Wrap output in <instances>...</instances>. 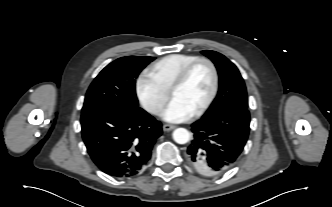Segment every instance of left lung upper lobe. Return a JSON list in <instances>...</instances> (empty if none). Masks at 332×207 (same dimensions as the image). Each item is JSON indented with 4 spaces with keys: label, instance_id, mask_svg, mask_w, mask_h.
Masks as SVG:
<instances>
[{
    "label": "left lung upper lobe",
    "instance_id": "1",
    "mask_svg": "<svg viewBox=\"0 0 332 207\" xmlns=\"http://www.w3.org/2000/svg\"><path fill=\"white\" fill-rule=\"evenodd\" d=\"M215 64L219 74V91L203 117L232 108H248L247 91L237 67L222 54L215 51H202Z\"/></svg>",
    "mask_w": 332,
    "mask_h": 207
}]
</instances>
